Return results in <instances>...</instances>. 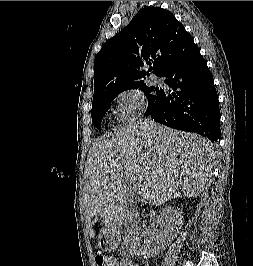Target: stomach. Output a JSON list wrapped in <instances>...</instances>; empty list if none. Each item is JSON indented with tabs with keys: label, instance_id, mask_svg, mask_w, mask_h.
<instances>
[{
	"label": "stomach",
	"instance_id": "obj_1",
	"mask_svg": "<svg viewBox=\"0 0 253 266\" xmlns=\"http://www.w3.org/2000/svg\"><path fill=\"white\" fill-rule=\"evenodd\" d=\"M99 246H100V248H102L104 250H110V249H113L115 247V243L109 241L107 239V236L105 235L104 237L102 236L100 238Z\"/></svg>",
	"mask_w": 253,
	"mask_h": 266
}]
</instances>
